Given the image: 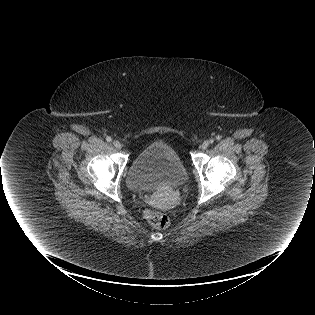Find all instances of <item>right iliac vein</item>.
I'll return each mask as SVG.
<instances>
[{
    "label": "right iliac vein",
    "instance_id": "63e3f726",
    "mask_svg": "<svg viewBox=\"0 0 315 315\" xmlns=\"http://www.w3.org/2000/svg\"><path fill=\"white\" fill-rule=\"evenodd\" d=\"M113 145H114L117 149H121V148H122V144H121L119 141H117V140L113 141Z\"/></svg>",
    "mask_w": 315,
    "mask_h": 315
}]
</instances>
